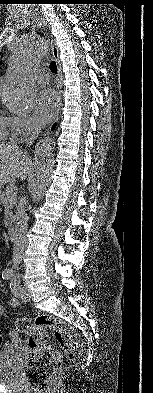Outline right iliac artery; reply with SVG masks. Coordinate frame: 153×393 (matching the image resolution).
<instances>
[{
	"instance_id": "obj_1",
	"label": "right iliac artery",
	"mask_w": 153,
	"mask_h": 393,
	"mask_svg": "<svg viewBox=\"0 0 153 393\" xmlns=\"http://www.w3.org/2000/svg\"><path fill=\"white\" fill-rule=\"evenodd\" d=\"M12 276H13V274L9 270H4L2 272V278L5 279V280L10 279Z\"/></svg>"
}]
</instances>
